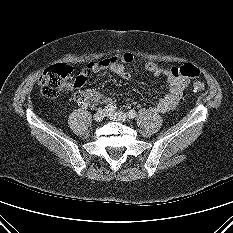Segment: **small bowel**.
<instances>
[{"instance_id": "obj_1", "label": "small bowel", "mask_w": 233, "mask_h": 233, "mask_svg": "<svg viewBox=\"0 0 233 233\" xmlns=\"http://www.w3.org/2000/svg\"><path fill=\"white\" fill-rule=\"evenodd\" d=\"M134 61V57L130 53L117 54L112 57L105 58L103 60L92 62L88 64L77 77V81L74 83L75 88H82L86 79L89 76L100 74L103 72H112L118 75L124 80H130L132 78L127 66ZM173 68H164L156 62L148 61L144 64V70L156 77H163L168 84V92L161 98H159L153 105V109L159 112H168L174 109L179 103L185 89L188 86L189 79L182 78L174 75ZM81 97L86 105L102 104H114L115 98L110 95L101 93L96 88H84L81 91Z\"/></svg>"}]
</instances>
